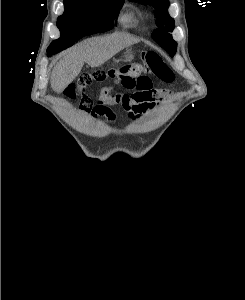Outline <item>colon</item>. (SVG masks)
Masks as SVG:
<instances>
[{"instance_id": "1", "label": "colon", "mask_w": 245, "mask_h": 300, "mask_svg": "<svg viewBox=\"0 0 245 300\" xmlns=\"http://www.w3.org/2000/svg\"><path fill=\"white\" fill-rule=\"evenodd\" d=\"M144 73L153 74L160 83H172L175 79L174 73L158 53L144 51L140 54L138 61L115 69L96 70L82 74L78 83L67 89V95L70 98H75L78 94H83L84 90L93 84L104 83L108 79L118 81L124 88L130 89L134 87ZM154 93L158 99L165 95V91L160 89H155Z\"/></svg>"}]
</instances>
